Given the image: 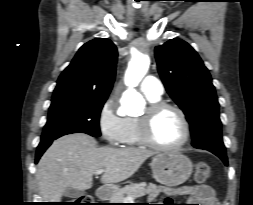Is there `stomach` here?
<instances>
[{"mask_svg": "<svg viewBox=\"0 0 253 205\" xmlns=\"http://www.w3.org/2000/svg\"><path fill=\"white\" fill-rule=\"evenodd\" d=\"M154 178L168 187L184 183L192 174L191 160L180 152H164L156 154L151 162ZM119 190L118 186L110 187V194Z\"/></svg>", "mask_w": 253, "mask_h": 205, "instance_id": "stomach-1", "label": "stomach"}]
</instances>
